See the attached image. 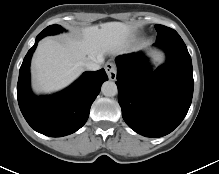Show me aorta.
Segmentation results:
<instances>
[{
	"instance_id": "aorta-1",
	"label": "aorta",
	"mask_w": 219,
	"mask_h": 174,
	"mask_svg": "<svg viewBox=\"0 0 219 174\" xmlns=\"http://www.w3.org/2000/svg\"><path fill=\"white\" fill-rule=\"evenodd\" d=\"M101 91L106 97H113L118 93L117 85L113 81H106L102 84Z\"/></svg>"
}]
</instances>
